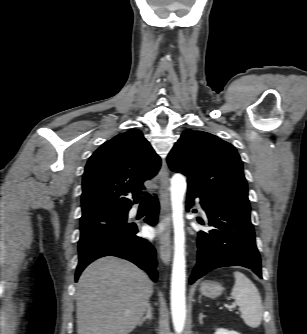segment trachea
Segmentation results:
<instances>
[{
    "label": "trachea",
    "instance_id": "3493384b",
    "mask_svg": "<svg viewBox=\"0 0 307 334\" xmlns=\"http://www.w3.org/2000/svg\"><path fill=\"white\" fill-rule=\"evenodd\" d=\"M151 200V195L148 193H145L143 198H142V203H148Z\"/></svg>",
    "mask_w": 307,
    "mask_h": 334
}]
</instances>
